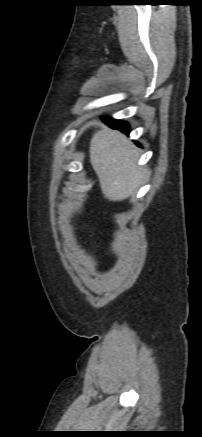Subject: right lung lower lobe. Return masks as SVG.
<instances>
[{"label":"right lung lower lobe","mask_w":202,"mask_h":437,"mask_svg":"<svg viewBox=\"0 0 202 437\" xmlns=\"http://www.w3.org/2000/svg\"><path fill=\"white\" fill-rule=\"evenodd\" d=\"M105 122L113 129L120 130L123 133L129 134V125L124 121H117L114 119L105 118Z\"/></svg>","instance_id":"right-lung-lower-lobe-1"}]
</instances>
